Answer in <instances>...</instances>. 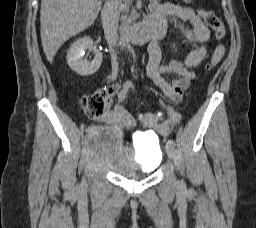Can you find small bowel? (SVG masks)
Segmentation results:
<instances>
[{
    "label": "small bowel",
    "instance_id": "obj_1",
    "mask_svg": "<svg viewBox=\"0 0 256 228\" xmlns=\"http://www.w3.org/2000/svg\"><path fill=\"white\" fill-rule=\"evenodd\" d=\"M166 18L189 23L188 26L182 25L180 27L184 37L192 45L184 61L172 59L167 64L162 63V50L159 39L165 31ZM147 21L160 29L161 36L151 41L148 45L149 58L146 66V75L163 95L171 101L179 103L184 92L195 79L196 74L193 68L197 67L206 57V42L210 38V30L191 8L168 2H153L151 15ZM164 75H170L173 79L168 81ZM135 88L134 83L131 81H126L122 85L113 83L107 86L104 89L105 110L98 117V121L111 125L115 130L132 127L135 124V119L121 106V103L126 98L128 91ZM114 96L117 97L115 103L112 100ZM172 125V121L163 122L156 125L155 130L160 134H167Z\"/></svg>",
    "mask_w": 256,
    "mask_h": 228
}]
</instances>
